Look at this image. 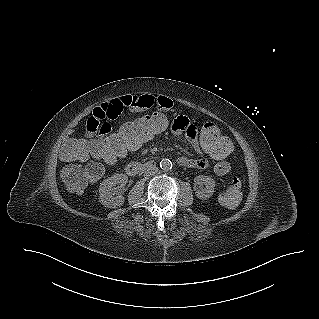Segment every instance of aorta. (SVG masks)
<instances>
[{
    "label": "aorta",
    "instance_id": "1",
    "mask_svg": "<svg viewBox=\"0 0 319 319\" xmlns=\"http://www.w3.org/2000/svg\"><path fill=\"white\" fill-rule=\"evenodd\" d=\"M172 161L170 159H162L160 161V168L164 172H168L172 169Z\"/></svg>",
    "mask_w": 319,
    "mask_h": 319
}]
</instances>
